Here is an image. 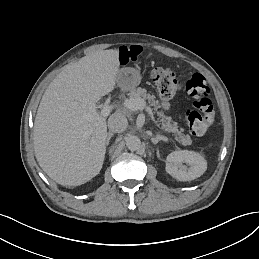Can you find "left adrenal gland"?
Wrapping results in <instances>:
<instances>
[{"mask_svg": "<svg viewBox=\"0 0 259 259\" xmlns=\"http://www.w3.org/2000/svg\"><path fill=\"white\" fill-rule=\"evenodd\" d=\"M159 141H163V142L167 143L168 139L165 136H161V135H157L155 137H151V142L154 145H157Z\"/></svg>", "mask_w": 259, "mask_h": 259, "instance_id": "obj_1", "label": "left adrenal gland"}]
</instances>
